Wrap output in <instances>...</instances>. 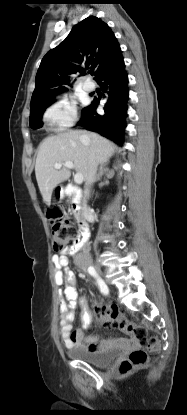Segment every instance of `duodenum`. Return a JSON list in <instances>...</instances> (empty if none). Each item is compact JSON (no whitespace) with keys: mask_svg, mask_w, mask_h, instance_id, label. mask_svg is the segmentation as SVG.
Segmentation results:
<instances>
[{"mask_svg":"<svg viewBox=\"0 0 187 415\" xmlns=\"http://www.w3.org/2000/svg\"><path fill=\"white\" fill-rule=\"evenodd\" d=\"M63 194L70 198L71 201V208L72 211L75 214H80L81 211V191L78 187L74 186V185H68L65 187V189L63 190ZM92 214L91 213H86L84 220H82L79 224V228H80V238L78 241V244L73 248V250H77L80 247V244H83L89 237V228H88V224L87 221L92 219Z\"/></svg>","mask_w":187,"mask_h":415,"instance_id":"410a0bca","label":"duodenum"}]
</instances>
